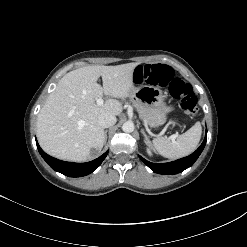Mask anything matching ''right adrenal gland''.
Masks as SVG:
<instances>
[{
  "label": "right adrenal gland",
  "mask_w": 247,
  "mask_h": 247,
  "mask_svg": "<svg viewBox=\"0 0 247 247\" xmlns=\"http://www.w3.org/2000/svg\"><path fill=\"white\" fill-rule=\"evenodd\" d=\"M107 132H108V130H105L104 131V142L106 143V141H107Z\"/></svg>",
  "instance_id": "2a0ac1e0"
}]
</instances>
